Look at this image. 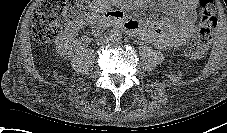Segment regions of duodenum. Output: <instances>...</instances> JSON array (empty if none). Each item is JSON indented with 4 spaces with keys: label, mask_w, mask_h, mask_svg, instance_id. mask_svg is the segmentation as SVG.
Here are the masks:
<instances>
[{
    "label": "duodenum",
    "mask_w": 227,
    "mask_h": 133,
    "mask_svg": "<svg viewBox=\"0 0 227 133\" xmlns=\"http://www.w3.org/2000/svg\"><path fill=\"white\" fill-rule=\"evenodd\" d=\"M102 23L104 25L108 26L111 25L114 26L115 28H120L126 31L130 32L133 31L130 24L122 20V14L116 11L107 12L102 19Z\"/></svg>",
    "instance_id": "1"
}]
</instances>
